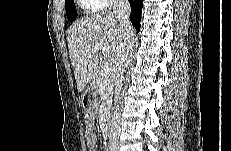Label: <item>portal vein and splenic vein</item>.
<instances>
[{
    "label": "portal vein and splenic vein",
    "mask_w": 231,
    "mask_h": 151,
    "mask_svg": "<svg viewBox=\"0 0 231 151\" xmlns=\"http://www.w3.org/2000/svg\"><path fill=\"white\" fill-rule=\"evenodd\" d=\"M95 48L99 49V50H102V51L105 50V47L102 44H100V43L95 44ZM112 71H113V68H112V64L111 63L106 62L101 67V73L104 74V75H107V74H109Z\"/></svg>",
    "instance_id": "1"
}]
</instances>
